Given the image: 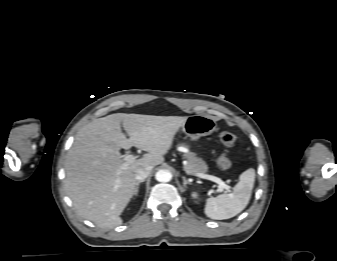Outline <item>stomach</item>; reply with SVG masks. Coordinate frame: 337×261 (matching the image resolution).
<instances>
[{
    "mask_svg": "<svg viewBox=\"0 0 337 261\" xmlns=\"http://www.w3.org/2000/svg\"><path fill=\"white\" fill-rule=\"evenodd\" d=\"M216 130V123L210 116L192 115L189 116L182 126V131L192 140L210 135Z\"/></svg>",
    "mask_w": 337,
    "mask_h": 261,
    "instance_id": "obj_1",
    "label": "stomach"
}]
</instances>
